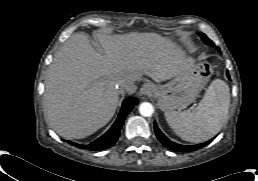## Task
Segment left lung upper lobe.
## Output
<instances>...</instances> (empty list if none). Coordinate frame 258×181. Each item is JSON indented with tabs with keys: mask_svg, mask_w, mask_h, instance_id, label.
Returning a JSON list of instances; mask_svg holds the SVG:
<instances>
[{
	"mask_svg": "<svg viewBox=\"0 0 258 181\" xmlns=\"http://www.w3.org/2000/svg\"><path fill=\"white\" fill-rule=\"evenodd\" d=\"M200 36L202 37L203 41L207 43L208 45L214 46V43L203 33H200ZM219 50V49H218ZM220 51V50H219Z\"/></svg>",
	"mask_w": 258,
	"mask_h": 181,
	"instance_id": "left-lung-upper-lobe-1",
	"label": "left lung upper lobe"
}]
</instances>
